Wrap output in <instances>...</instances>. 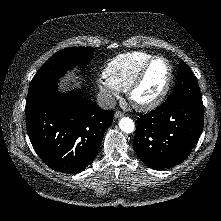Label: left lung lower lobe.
<instances>
[{
    "instance_id": "1",
    "label": "left lung lower lobe",
    "mask_w": 221,
    "mask_h": 221,
    "mask_svg": "<svg viewBox=\"0 0 221 221\" xmlns=\"http://www.w3.org/2000/svg\"><path fill=\"white\" fill-rule=\"evenodd\" d=\"M203 102L165 101L137 119L133 147L141 161L163 170L182 163L203 129Z\"/></svg>"
}]
</instances>
